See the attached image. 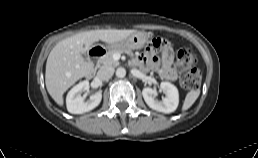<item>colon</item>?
I'll list each match as a JSON object with an SVG mask.
<instances>
[{"label": "colon", "instance_id": "colon-1", "mask_svg": "<svg viewBox=\"0 0 258 158\" xmlns=\"http://www.w3.org/2000/svg\"><path fill=\"white\" fill-rule=\"evenodd\" d=\"M162 39H154L151 41L150 46L159 49ZM197 58L187 48L180 49L177 54V67L183 71L180 77V84L183 88L188 90L196 89L200 84L201 74L196 67Z\"/></svg>", "mask_w": 258, "mask_h": 158}]
</instances>
